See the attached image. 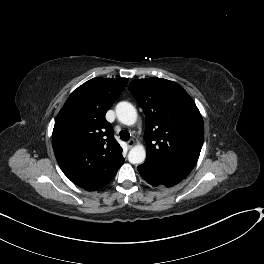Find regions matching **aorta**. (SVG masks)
Instances as JSON below:
<instances>
[{
  "label": "aorta",
  "instance_id": "obj_1",
  "mask_svg": "<svg viewBox=\"0 0 264 264\" xmlns=\"http://www.w3.org/2000/svg\"><path fill=\"white\" fill-rule=\"evenodd\" d=\"M117 119L125 125H133L137 120L135 107L126 101L116 105ZM146 158V150L142 145L134 146L128 153V160L132 164H141Z\"/></svg>",
  "mask_w": 264,
  "mask_h": 264
}]
</instances>
